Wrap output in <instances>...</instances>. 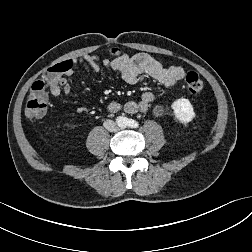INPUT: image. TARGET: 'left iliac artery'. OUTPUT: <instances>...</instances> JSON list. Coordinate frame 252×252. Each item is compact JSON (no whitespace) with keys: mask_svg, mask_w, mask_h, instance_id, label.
I'll use <instances>...</instances> for the list:
<instances>
[{"mask_svg":"<svg viewBox=\"0 0 252 252\" xmlns=\"http://www.w3.org/2000/svg\"><path fill=\"white\" fill-rule=\"evenodd\" d=\"M131 128H138L139 124L137 121L130 120L128 124Z\"/></svg>","mask_w":252,"mask_h":252,"instance_id":"left-iliac-artery-1","label":"left iliac artery"}]
</instances>
